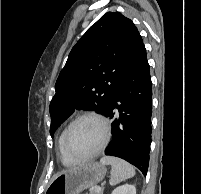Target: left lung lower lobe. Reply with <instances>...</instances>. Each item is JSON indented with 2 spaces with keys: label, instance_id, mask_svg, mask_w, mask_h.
Here are the masks:
<instances>
[{
  "label": "left lung lower lobe",
  "instance_id": "1",
  "mask_svg": "<svg viewBox=\"0 0 201 194\" xmlns=\"http://www.w3.org/2000/svg\"><path fill=\"white\" fill-rule=\"evenodd\" d=\"M104 115L112 119L113 134L104 154L122 158L146 175L152 132V82L144 44Z\"/></svg>",
  "mask_w": 201,
  "mask_h": 194
}]
</instances>
